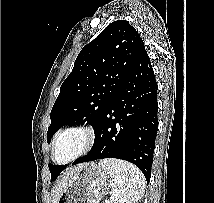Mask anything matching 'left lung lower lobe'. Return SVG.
<instances>
[{"label":"left lung lower lobe","instance_id":"1","mask_svg":"<svg viewBox=\"0 0 214 203\" xmlns=\"http://www.w3.org/2000/svg\"><path fill=\"white\" fill-rule=\"evenodd\" d=\"M157 111V83L145 51L101 116L93 147L72 165L118 158L135 164L149 182L158 127Z\"/></svg>","mask_w":214,"mask_h":203}]
</instances>
